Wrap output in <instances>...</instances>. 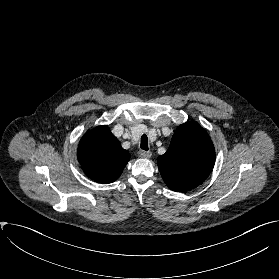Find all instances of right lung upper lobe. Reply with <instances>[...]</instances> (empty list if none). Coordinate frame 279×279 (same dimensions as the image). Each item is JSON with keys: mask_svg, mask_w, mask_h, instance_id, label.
<instances>
[{"mask_svg": "<svg viewBox=\"0 0 279 279\" xmlns=\"http://www.w3.org/2000/svg\"><path fill=\"white\" fill-rule=\"evenodd\" d=\"M78 161L84 173L96 182H114L130 159L107 126L88 131L80 140Z\"/></svg>", "mask_w": 279, "mask_h": 279, "instance_id": "right-lung-upper-lobe-1", "label": "right lung upper lobe"}]
</instances>
